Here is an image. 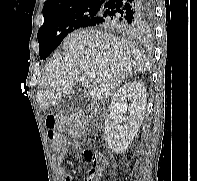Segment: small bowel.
Instances as JSON below:
<instances>
[{
    "mask_svg": "<svg viewBox=\"0 0 197 181\" xmlns=\"http://www.w3.org/2000/svg\"><path fill=\"white\" fill-rule=\"evenodd\" d=\"M79 148L80 143L63 140L61 147L59 149H56L57 154L55 157V164L57 166L58 174L61 177V181H72V176L65 170L62 164L68 152H70L72 149Z\"/></svg>",
    "mask_w": 197,
    "mask_h": 181,
    "instance_id": "small-bowel-1",
    "label": "small bowel"
}]
</instances>
